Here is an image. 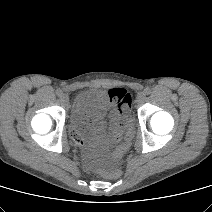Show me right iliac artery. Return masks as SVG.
<instances>
[{
  "label": "right iliac artery",
  "instance_id": "1",
  "mask_svg": "<svg viewBox=\"0 0 212 212\" xmlns=\"http://www.w3.org/2000/svg\"><path fill=\"white\" fill-rule=\"evenodd\" d=\"M56 94H57L58 96H61V95L63 94V92H62L61 89H57V90H56Z\"/></svg>",
  "mask_w": 212,
  "mask_h": 212
}]
</instances>
